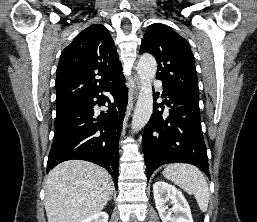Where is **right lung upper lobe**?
<instances>
[{"label": "right lung upper lobe", "mask_w": 257, "mask_h": 222, "mask_svg": "<svg viewBox=\"0 0 257 222\" xmlns=\"http://www.w3.org/2000/svg\"><path fill=\"white\" fill-rule=\"evenodd\" d=\"M116 46L101 24L80 32L63 50L57 67L56 105L87 99L121 72ZM101 79H95V76Z\"/></svg>", "instance_id": "1"}]
</instances>
